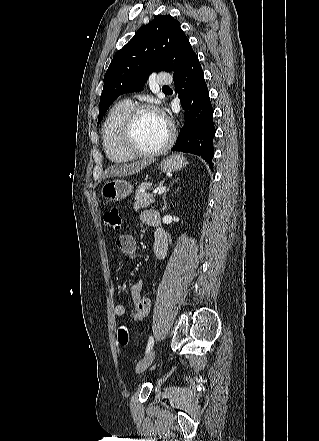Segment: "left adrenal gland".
Returning <instances> with one entry per match:
<instances>
[{"label": "left adrenal gland", "mask_w": 319, "mask_h": 441, "mask_svg": "<svg viewBox=\"0 0 319 441\" xmlns=\"http://www.w3.org/2000/svg\"><path fill=\"white\" fill-rule=\"evenodd\" d=\"M177 181H178V178H177L175 181H173V182L171 183V185L168 187V189L166 190V192H165V194H164V196H163V203H164V205H163V208H162V212H164V211L166 210V206H167V203H166V195H167L168 191L170 190V188L173 186V184H174L175 182H177Z\"/></svg>", "instance_id": "a2214340"}]
</instances>
